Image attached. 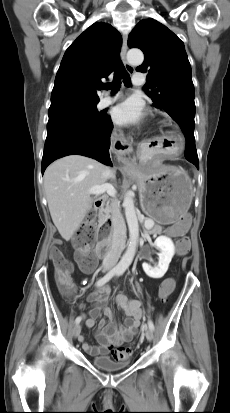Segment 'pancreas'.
Wrapping results in <instances>:
<instances>
[{
  "mask_svg": "<svg viewBox=\"0 0 230 413\" xmlns=\"http://www.w3.org/2000/svg\"><path fill=\"white\" fill-rule=\"evenodd\" d=\"M111 212V206L110 205H106L105 208L102 209V214L101 216H105L108 217L109 214ZM104 214V215H103ZM153 222V221H152ZM163 227L160 225H154L150 230H148V232L150 234H155V233H160L162 232Z\"/></svg>",
  "mask_w": 230,
  "mask_h": 413,
  "instance_id": "1",
  "label": "pancreas"
}]
</instances>
